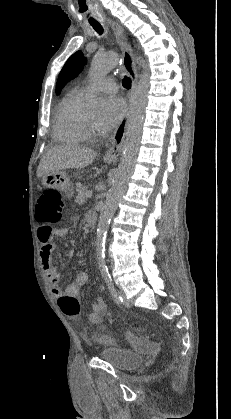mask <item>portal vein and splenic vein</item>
Instances as JSON below:
<instances>
[{
    "instance_id": "obj_1",
    "label": "portal vein and splenic vein",
    "mask_w": 231,
    "mask_h": 419,
    "mask_svg": "<svg viewBox=\"0 0 231 419\" xmlns=\"http://www.w3.org/2000/svg\"><path fill=\"white\" fill-rule=\"evenodd\" d=\"M92 190H88V191H86V193H85V195H86V197L87 198H90V197H92Z\"/></svg>"
}]
</instances>
